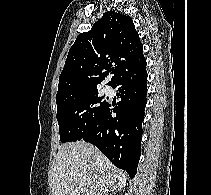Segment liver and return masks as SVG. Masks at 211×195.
<instances>
[{
  "label": "liver",
  "mask_w": 211,
  "mask_h": 195,
  "mask_svg": "<svg viewBox=\"0 0 211 195\" xmlns=\"http://www.w3.org/2000/svg\"><path fill=\"white\" fill-rule=\"evenodd\" d=\"M125 173L84 141L59 147L53 167V195H108L126 185Z\"/></svg>",
  "instance_id": "obj_1"
}]
</instances>
